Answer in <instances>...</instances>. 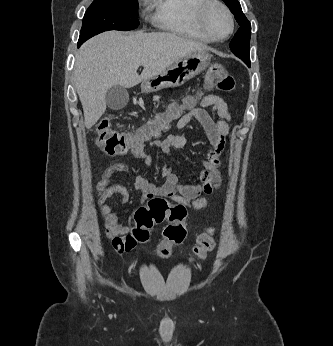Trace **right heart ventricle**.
I'll list each match as a JSON object with an SVG mask.
<instances>
[{
	"label": "right heart ventricle",
	"instance_id": "right-heart-ventricle-1",
	"mask_svg": "<svg viewBox=\"0 0 333 346\" xmlns=\"http://www.w3.org/2000/svg\"><path fill=\"white\" fill-rule=\"evenodd\" d=\"M153 8L155 24L166 31L184 36L199 43L211 39L202 31L197 10L204 0H148Z\"/></svg>",
	"mask_w": 333,
	"mask_h": 346
}]
</instances>
